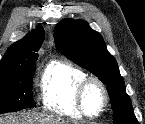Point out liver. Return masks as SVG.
<instances>
[{
	"mask_svg": "<svg viewBox=\"0 0 145 124\" xmlns=\"http://www.w3.org/2000/svg\"><path fill=\"white\" fill-rule=\"evenodd\" d=\"M0 124H69L62 118L41 113L23 112L19 116L0 118Z\"/></svg>",
	"mask_w": 145,
	"mask_h": 124,
	"instance_id": "1",
	"label": "liver"
}]
</instances>
